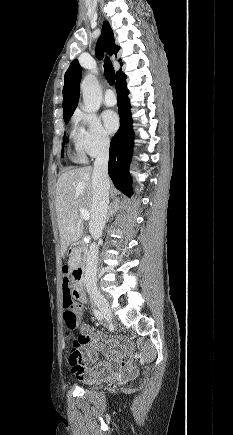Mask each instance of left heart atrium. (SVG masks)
Masks as SVG:
<instances>
[{
    "label": "left heart atrium",
    "instance_id": "39dd6f15",
    "mask_svg": "<svg viewBox=\"0 0 233 435\" xmlns=\"http://www.w3.org/2000/svg\"><path fill=\"white\" fill-rule=\"evenodd\" d=\"M103 123L109 132H114L118 127L117 114L112 110H106L102 114Z\"/></svg>",
    "mask_w": 233,
    "mask_h": 435
}]
</instances>
